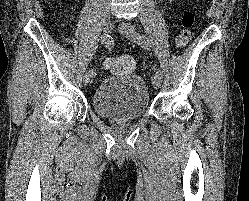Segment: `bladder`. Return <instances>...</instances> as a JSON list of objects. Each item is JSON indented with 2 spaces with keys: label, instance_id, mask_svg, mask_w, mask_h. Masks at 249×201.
Masks as SVG:
<instances>
[{
  "label": "bladder",
  "instance_id": "bladder-1",
  "mask_svg": "<svg viewBox=\"0 0 249 201\" xmlns=\"http://www.w3.org/2000/svg\"><path fill=\"white\" fill-rule=\"evenodd\" d=\"M92 106L98 116L108 120L138 119L149 109L145 82L136 74L108 76L97 85Z\"/></svg>",
  "mask_w": 249,
  "mask_h": 201
}]
</instances>
